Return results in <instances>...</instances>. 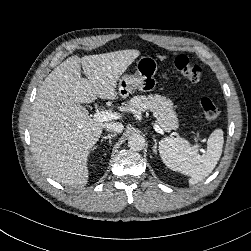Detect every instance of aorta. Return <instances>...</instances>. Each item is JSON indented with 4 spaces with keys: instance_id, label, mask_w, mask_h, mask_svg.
Listing matches in <instances>:
<instances>
[{
    "instance_id": "1",
    "label": "aorta",
    "mask_w": 251,
    "mask_h": 251,
    "mask_svg": "<svg viewBox=\"0 0 251 251\" xmlns=\"http://www.w3.org/2000/svg\"><path fill=\"white\" fill-rule=\"evenodd\" d=\"M128 146L134 151H141L145 146V139L139 134H133L128 139Z\"/></svg>"
}]
</instances>
